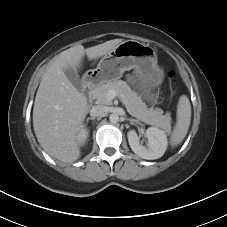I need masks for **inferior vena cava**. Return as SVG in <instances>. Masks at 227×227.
I'll list each match as a JSON object with an SVG mask.
<instances>
[{
    "label": "inferior vena cava",
    "mask_w": 227,
    "mask_h": 227,
    "mask_svg": "<svg viewBox=\"0 0 227 227\" xmlns=\"http://www.w3.org/2000/svg\"><path fill=\"white\" fill-rule=\"evenodd\" d=\"M106 112V107L102 106V105H97L92 107V109L90 110V115L94 118V117H101L105 114Z\"/></svg>",
    "instance_id": "obj_1"
}]
</instances>
